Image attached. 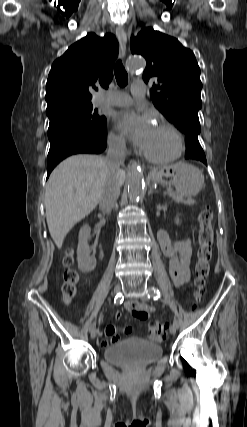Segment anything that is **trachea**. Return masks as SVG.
<instances>
[{"label": "trachea", "instance_id": "1", "mask_svg": "<svg viewBox=\"0 0 247 427\" xmlns=\"http://www.w3.org/2000/svg\"><path fill=\"white\" fill-rule=\"evenodd\" d=\"M114 74L117 80V83L119 86L124 87L128 83V74L121 62V60H118L115 68H114Z\"/></svg>", "mask_w": 247, "mask_h": 427}]
</instances>
